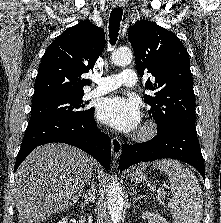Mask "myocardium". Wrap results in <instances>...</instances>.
<instances>
[{
	"label": "myocardium",
	"mask_w": 221,
	"mask_h": 223,
	"mask_svg": "<svg viewBox=\"0 0 221 223\" xmlns=\"http://www.w3.org/2000/svg\"><path fill=\"white\" fill-rule=\"evenodd\" d=\"M156 133L157 124L153 120H147L136 134V139L145 141L154 137Z\"/></svg>",
	"instance_id": "f54148a6"
}]
</instances>
